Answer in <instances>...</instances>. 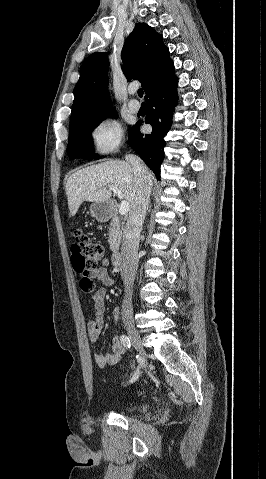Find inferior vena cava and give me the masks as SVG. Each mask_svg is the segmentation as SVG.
Returning <instances> with one entry per match:
<instances>
[{
	"label": "inferior vena cava",
	"mask_w": 266,
	"mask_h": 479,
	"mask_svg": "<svg viewBox=\"0 0 266 479\" xmlns=\"http://www.w3.org/2000/svg\"><path fill=\"white\" fill-rule=\"evenodd\" d=\"M131 164L136 182L135 199L130 209L128 220L124 228V235L121 247L122 254V279L125 286V296L122 303V319H131L133 316L132 289L138 267L139 236L145 219L149 204V197L152 188V180L148 169L139 157L134 155L126 156Z\"/></svg>",
	"instance_id": "1"
}]
</instances>
